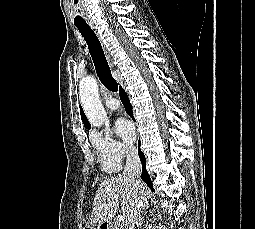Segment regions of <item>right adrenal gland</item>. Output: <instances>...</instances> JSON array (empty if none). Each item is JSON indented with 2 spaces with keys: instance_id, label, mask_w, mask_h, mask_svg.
Returning a JSON list of instances; mask_svg holds the SVG:
<instances>
[{
  "instance_id": "2a0ac1e0",
  "label": "right adrenal gland",
  "mask_w": 255,
  "mask_h": 229,
  "mask_svg": "<svg viewBox=\"0 0 255 229\" xmlns=\"http://www.w3.org/2000/svg\"><path fill=\"white\" fill-rule=\"evenodd\" d=\"M148 206H149V202L145 200L141 213H144V211L147 209Z\"/></svg>"
}]
</instances>
